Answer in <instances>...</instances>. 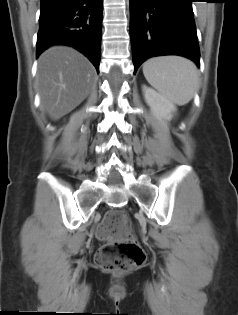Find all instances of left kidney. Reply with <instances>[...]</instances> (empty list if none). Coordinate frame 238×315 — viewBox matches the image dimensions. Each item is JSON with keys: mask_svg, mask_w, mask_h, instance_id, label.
Returning <instances> with one entry per match:
<instances>
[{"mask_svg": "<svg viewBox=\"0 0 238 315\" xmlns=\"http://www.w3.org/2000/svg\"><path fill=\"white\" fill-rule=\"evenodd\" d=\"M143 93L146 103L149 105L153 115L163 123H167L177 110L176 106L157 93L154 89L143 86Z\"/></svg>", "mask_w": 238, "mask_h": 315, "instance_id": "obj_1", "label": "left kidney"}]
</instances>
